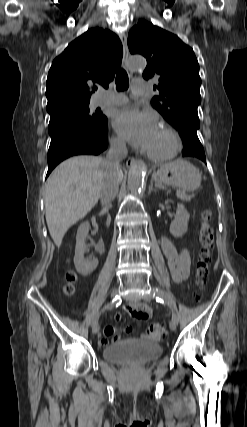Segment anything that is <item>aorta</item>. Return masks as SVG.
<instances>
[{"label":"aorta","instance_id":"obj_1","mask_svg":"<svg viewBox=\"0 0 247 427\" xmlns=\"http://www.w3.org/2000/svg\"><path fill=\"white\" fill-rule=\"evenodd\" d=\"M128 66L131 70L137 71L145 68L146 60L141 56H132L128 60ZM145 164L136 162L131 165L128 172V187L132 194H140L144 185Z\"/></svg>","mask_w":247,"mask_h":427}]
</instances>
